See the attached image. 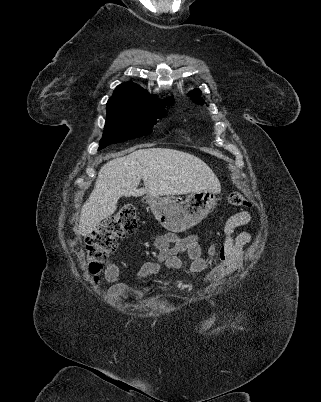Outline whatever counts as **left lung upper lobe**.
Segmentation results:
<instances>
[{
    "label": "left lung upper lobe",
    "instance_id": "obj_1",
    "mask_svg": "<svg viewBox=\"0 0 321 402\" xmlns=\"http://www.w3.org/2000/svg\"><path fill=\"white\" fill-rule=\"evenodd\" d=\"M194 101L197 103L203 104V101L200 98L201 91L199 89H194L188 94Z\"/></svg>",
    "mask_w": 321,
    "mask_h": 402
}]
</instances>
